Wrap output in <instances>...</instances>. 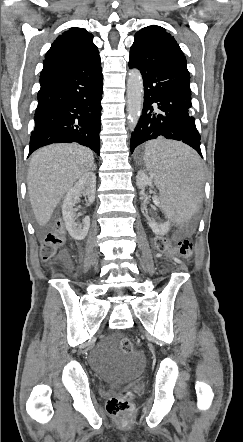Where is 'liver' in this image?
Segmentation results:
<instances>
[{
  "label": "liver",
  "mask_w": 243,
  "mask_h": 442,
  "mask_svg": "<svg viewBox=\"0 0 243 442\" xmlns=\"http://www.w3.org/2000/svg\"><path fill=\"white\" fill-rule=\"evenodd\" d=\"M93 166V152L75 143L49 145L32 156L27 188L39 226H45L49 222L65 193Z\"/></svg>",
  "instance_id": "liver-1"
}]
</instances>
